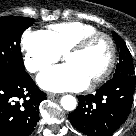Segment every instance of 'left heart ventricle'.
<instances>
[{"instance_id": "obj_1", "label": "left heart ventricle", "mask_w": 136, "mask_h": 136, "mask_svg": "<svg viewBox=\"0 0 136 136\" xmlns=\"http://www.w3.org/2000/svg\"><path fill=\"white\" fill-rule=\"evenodd\" d=\"M110 46L106 39L100 38L92 43L85 51L65 57L69 64L79 68L89 81L100 75L108 65Z\"/></svg>"}]
</instances>
